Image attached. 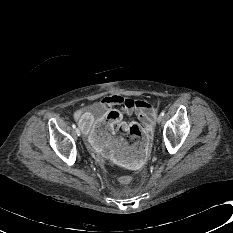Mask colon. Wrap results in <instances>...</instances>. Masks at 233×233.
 <instances>
[{
	"label": "colon",
	"instance_id": "obj_1",
	"mask_svg": "<svg viewBox=\"0 0 233 233\" xmlns=\"http://www.w3.org/2000/svg\"><path fill=\"white\" fill-rule=\"evenodd\" d=\"M118 133L124 134L129 141H134L138 136L142 135L141 129L137 124H131L127 128H119ZM120 182L123 184H128L130 182V177L122 176Z\"/></svg>",
	"mask_w": 233,
	"mask_h": 233
}]
</instances>
